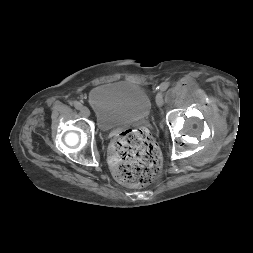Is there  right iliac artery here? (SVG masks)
Instances as JSON below:
<instances>
[{"label": "right iliac artery", "instance_id": "82829eb1", "mask_svg": "<svg viewBox=\"0 0 253 253\" xmlns=\"http://www.w3.org/2000/svg\"><path fill=\"white\" fill-rule=\"evenodd\" d=\"M73 105H74V107L76 108V109H81L82 108V104L80 103V102H78V101H74L73 102Z\"/></svg>", "mask_w": 253, "mask_h": 253}]
</instances>
